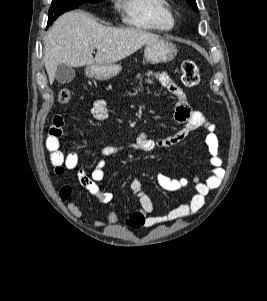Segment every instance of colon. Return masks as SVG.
I'll return each mask as SVG.
<instances>
[{"instance_id":"colon-1","label":"colon","mask_w":267,"mask_h":301,"mask_svg":"<svg viewBox=\"0 0 267 301\" xmlns=\"http://www.w3.org/2000/svg\"><path fill=\"white\" fill-rule=\"evenodd\" d=\"M200 78L199 70L193 60L186 59L181 65V81L185 86L193 87L198 84ZM58 101L61 104H67L72 99V93L69 88H62L58 92Z\"/></svg>"}]
</instances>
